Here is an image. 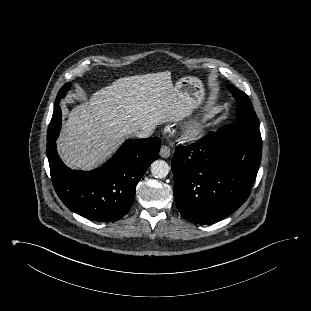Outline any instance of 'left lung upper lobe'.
I'll return each mask as SVG.
<instances>
[{
	"mask_svg": "<svg viewBox=\"0 0 311 311\" xmlns=\"http://www.w3.org/2000/svg\"><path fill=\"white\" fill-rule=\"evenodd\" d=\"M237 101V120L235 123H244L258 128V118L252 107L249 97L234 86H227Z\"/></svg>",
	"mask_w": 311,
	"mask_h": 311,
	"instance_id": "obj_1",
	"label": "left lung upper lobe"
}]
</instances>
